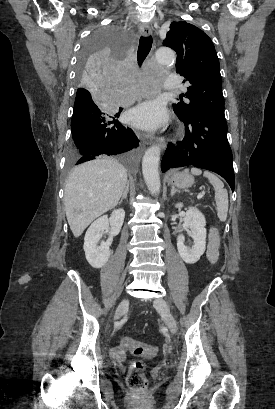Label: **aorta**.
Segmentation results:
<instances>
[{
    "label": "aorta",
    "mask_w": 275,
    "mask_h": 409,
    "mask_svg": "<svg viewBox=\"0 0 275 409\" xmlns=\"http://www.w3.org/2000/svg\"><path fill=\"white\" fill-rule=\"evenodd\" d=\"M153 60H158L162 64H170L174 62L175 52L171 48H159L152 53ZM160 160V146H150L145 150L142 160V170L144 180L151 192H159L160 176L158 172V164Z\"/></svg>",
    "instance_id": "1"
}]
</instances>
